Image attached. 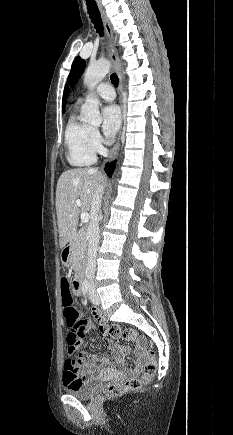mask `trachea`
<instances>
[{
	"label": "trachea",
	"instance_id": "3493384b",
	"mask_svg": "<svg viewBox=\"0 0 233 435\" xmlns=\"http://www.w3.org/2000/svg\"><path fill=\"white\" fill-rule=\"evenodd\" d=\"M86 5H87L89 17L94 25V28L96 29L97 33H99L100 36L103 37L104 36L103 22L95 0H86ZM110 79L112 84L115 87H118L119 79L115 73L111 74Z\"/></svg>",
	"mask_w": 233,
	"mask_h": 435
}]
</instances>
